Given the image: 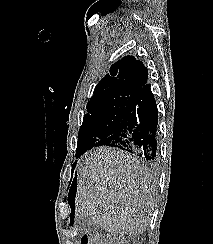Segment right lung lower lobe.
I'll return each mask as SVG.
<instances>
[{
    "label": "right lung lower lobe",
    "mask_w": 213,
    "mask_h": 244,
    "mask_svg": "<svg viewBox=\"0 0 213 244\" xmlns=\"http://www.w3.org/2000/svg\"><path fill=\"white\" fill-rule=\"evenodd\" d=\"M158 110L150 84L145 85L135 97L128 115L110 136L95 143L128 151L135 156L154 160L157 152ZM81 155L77 156L79 158ZM76 183H72L68 201L72 207Z\"/></svg>",
    "instance_id": "1"
}]
</instances>
